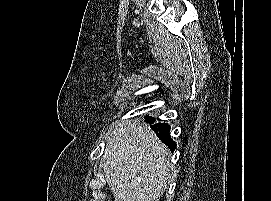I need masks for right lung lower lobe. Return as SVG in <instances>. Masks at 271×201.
<instances>
[{"label": "right lung lower lobe", "mask_w": 271, "mask_h": 201, "mask_svg": "<svg viewBox=\"0 0 271 201\" xmlns=\"http://www.w3.org/2000/svg\"><path fill=\"white\" fill-rule=\"evenodd\" d=\"M145 120L151 124L152 130L160 140L170 148L171 152H173L176 148V144L170 137V126L167 123L153 124L154 120L149 116H145Z\"/></svg>", "instance_id": "right-lung-lower-lobe-1"}]
</instances>
